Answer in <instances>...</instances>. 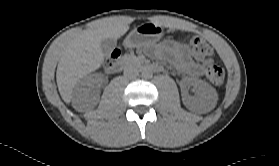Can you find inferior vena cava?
<instances>
[{
  "label": "inferior vena cava",
  "instance_id": "602c4592",
  "mask_svg": "<svg viewBox=\"0 0 279 166\" xmlns=\"http://www.w3.org/2000/svg\"><path fill=\"white\" fill-rule=\"evenodd\" d=\"M124 76L127 78H136L138 76V71L135 69H129L124 71Z\"/></svg>",
  "mask_w": 279,
  "mask_h": 166
}]
</instances>
